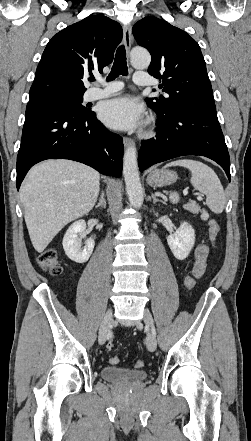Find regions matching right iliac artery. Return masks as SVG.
<instances>
[{"label": "right iliac artery", "instance_id": "82829eb1", "mask_svg": "<svg viewBox=\"0 0 251 441\" xmlns=\"http://www.w3.org/2000/svg\"><path fill=\"white\" fill-rule=\"evenodd\" d=\"M112 336V332H109L107 335V339H109Z\"/></svg>", "mask_w": 251, "mask_h": 441}]
</instances>
